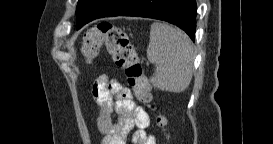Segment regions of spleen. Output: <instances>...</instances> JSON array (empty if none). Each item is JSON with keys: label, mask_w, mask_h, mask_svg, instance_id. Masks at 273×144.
I'll return each instance as SVG.
<instances>
[{"label": "spleen", "mask_w": 273, "mask_h": 144, "mask_svg": "<svg viewBox=\"0 0 273 144\" xmlns=\"http://www.w3.org/2000/svg\"><path fill=\"white\" fill-rule=\"evenodd\" d=\"M147 58L156 69L150 78L162 91L180 93L190 84L193 68V48L189 37L166 23L151 25Z\"/></svg>", "instance_id": "1"}]
</instances>
